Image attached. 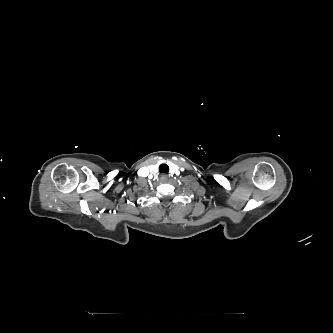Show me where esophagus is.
Instances as JSON below:
<instances>
[{
	"mask_svg": "<svg viewBox=\"0 0 333 333\" xmlns=\"http://www.w3.org/2000/svg\"><path fill=\"white\" fill-rule=\"evenodd\" d=\"M160 180H161V182H166L168 180V176L166 174H162L160 176Z\"/></svg>",
	"mask_w": 333,
	"mask_h": 333,
	"instance_id": "34e87169",
	"label": "esophagus"
}]
</instances>
